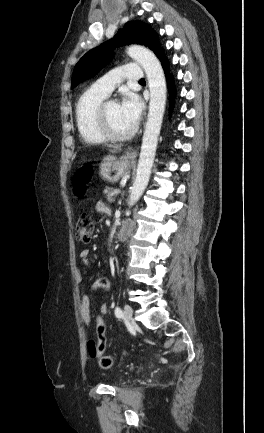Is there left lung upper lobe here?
<instances>
[{
	"label": "left lung upper lobe",
	"mask_w": 264,
	"mask_h": 433,
	"mask_svg": "<svg viewBox=\"0 0 264 433\" xmlns=\"http://www.w3.org/2000/svg\"><path fill=\"white\" fill-rule=\"evenodd\" d=\"M132 43L147 46L158 58L164 55L158 35L149 24L129 21L112 39L90 50L79 60L73 71L71 88L97 74L110 61L114 48Z\"/></svg>",
	"instance_id": "5c2ea615"
}]
</instances>
